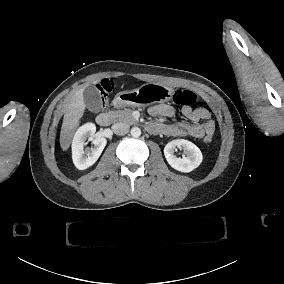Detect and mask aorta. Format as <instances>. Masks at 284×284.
<instances>
[{
  "mask_svg": "<svg viewBox=\"0 0 284 284\" xmlns=\"http://www.w3.org/2000/svg\"><path fill=\"white\" fill-rule=\"evenodd\" d=\"M131 135L135 138L139 137L141 135V129L139 127H133L131 129Z\"/></svg>",
  "mask_w": 284,
  "mask_h": 284,
  "instance_id": "1",
  "label": "aorta"
}]
</instances>
